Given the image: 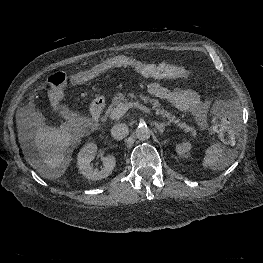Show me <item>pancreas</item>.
I'll list each match as a JSON object with an SVG mask.
<instances>
[{"label":"pancreas","instance_id":"cf45deb5","mask_svg":"<svg viewBox=\"0 0 263 263\" xmlns=\"http://www.w3.org/2000/svg\"><path fill=\"white\" fill-rule=\"evenodd\" d=\"M130 99H137L140 98L145 103H149L152 105V108L156 110L157 114H161L163 118H167L169 122H172L176 124L178 127L183 129L185 132H189L191 136L196 137L197 131L194 129V127L188 126L184 122H180L179 119L175 117L172 113L168 112L167 110L161 108V105L158 100L156 99H150L148 96L144 95H135L133 93H129L127 95ZM126 99V93H118L114 96L112 103L109 105L108 109L106 110V116L111 117L114 109L117 107V105L121 102H125Z\"/></svg>","mask_w":263,"mask_h":263}]
</instances>
